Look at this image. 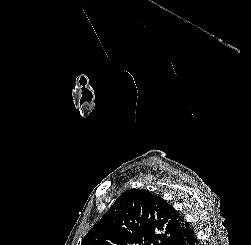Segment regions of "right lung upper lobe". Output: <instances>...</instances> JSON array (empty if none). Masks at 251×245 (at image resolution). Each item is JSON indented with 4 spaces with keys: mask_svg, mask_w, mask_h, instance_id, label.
Instances as JSON below:
<instances>
[{
    "mask_svg": "<svg viewBox=\"0 0 251 245\" xmlns=\"http://www.w3.org/2000/svg\"><path fill=\"white\" fill-rule=\"evenodd\" d=\"M189 229L182 215L148 190L122 193L81 245H167Z\"/></svg>",
    "mask_w": 251,
    "mask_h": 245,
    "instance_id": "obj_1",
    "label": "right lung upper lobe"
}]
</instances>
